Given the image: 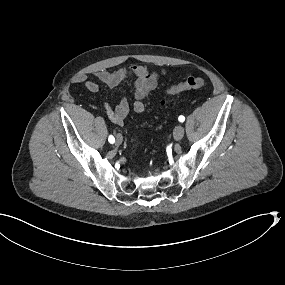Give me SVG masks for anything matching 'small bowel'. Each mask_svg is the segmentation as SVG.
I'll return each instance as SVG.
<instances>
[{
  "instance_id": "c3829d8e",
  "label": "small bowel",
  "mask_w": 285,
  "mask_h": 285,
  "mask_svg": "<svg viewBox=\"0 0 285 285\" xmlns=\"http://www.w3.org/2000/svg\"><path fill=\"white\" fill-rule=\"evenodd\" d=\"M164 73L163 70L156 72L145 66L134 65L116 71L100 70L94 75L99 82L109 87H116L126 79L133 80L135 91L132 108L136 113H143L145 110V98L156 88L160 76ZM75 82L91 93H97L100 90V84L87 79L85 75L77 76ZM103 106L110 121L118 126H122L130 110L128 101L125 98H121L115 106L108 102H104Z\"/></svg>"
}]
</instances>
